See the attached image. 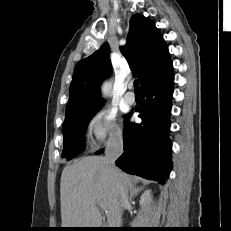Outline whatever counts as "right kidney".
<instances>
[{
  "mask_svg": "<svg viewBox=\"0 0 231 231\" xmlns=\"http://www.w3.org/2000/svg\"><path fill=\"white\" fill-rule=\"evenodd\" d=\"M150 202H152L151 191L146 190L140 197V206L143 209L148 210Z\"/></svg>",
  "mask_w": 231,
  "mask_h": 231,
  "instance_id": "right-kidney-1",
  "label": "right kidney"
}]
</instances>
